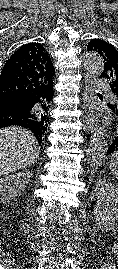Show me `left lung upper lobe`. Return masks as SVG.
Wrapping results in <instances>:
<instances>
[{
    "mask_svg": "<svg viewBox=\"0 0 118 269\" xmlns=\"http://www.w3.org/2000/svg\"><path fill=\"white\" fill-rule=\"evenodd\" d=\"M87 51L98 52L104 59V69L100 77L109 79V85L116 96L114 104H108L111 108H118V51L111 44L92 39L87 45Z\"/></svg>",
    "mask_w": 118,
    "mask_h": 269,
    "instance_id": "left-lung-upper-lobe-1",
    "label": "left lung upper lobe"
}]
</instances>
